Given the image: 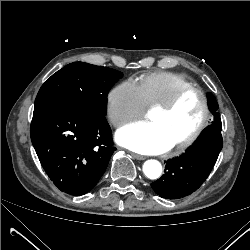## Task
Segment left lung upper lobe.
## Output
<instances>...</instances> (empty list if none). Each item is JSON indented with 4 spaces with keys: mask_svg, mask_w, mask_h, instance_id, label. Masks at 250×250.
Returning a JSON list of instances; mask_svg holds the SVG:
<instances>
[{
    "mask_svg": "<svg viewBox=\"0 0 250 250\" xmlns=\"http://www.w3.org/2000/svg\"><path fill=\"white\" fill-rule=\"evenodd\" d=\"M208 101H209V109L212 112V114L215 115V120L211 126L221 130L222 124H221L220 116L217 112V109H218L217 101L212 94H208Z\"/></svg>",
    "mask_w": 250,
    "mask_h": 250,
    "instance_id": "left-lung-upper-lobe-1",
    "label": "left lung upper lobe"
}]
</instances>
